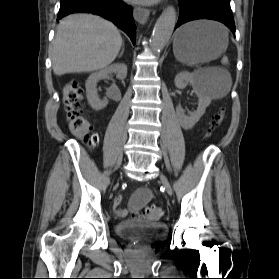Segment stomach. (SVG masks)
Segmentation results:
<instances>
[{
	"instance_id": "1",
	"label": "stomach",
	"mask_w": 279,
	"mask_h": 279,
	"mask_svg": "<svg viewBox=\"0 0 279 279\" xmlns=\"http://www.w3.org/2000/svg\"><path fill=\"white\" fill-rule=\"evenodd\" d=\"M228 46L226 29L211 21H194L178 29L174 42L175 58L182 63L198 64L219 57Z\"/></svg>"
}]
</instances>
